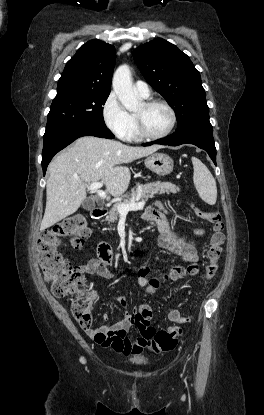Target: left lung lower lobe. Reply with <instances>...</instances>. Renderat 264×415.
<instances>
[{
  "label": "left lung lower lobe",
  "instance_id": "left-lung-lower-lobe-1",
  "mask_svg": "<svg viewBox=\"0 0 264 415\" xmlns=\"http://www.w3.org/2000/svg\"><path fill=\"white\" fill-rule=\"evenodd\" d=\"M185 143L193 144L204 149L216 165V148L212 134V125L209 121V114L193 116L178 126L173 134L155 142L142 145L149 146L152 144H162L178 146Z\"/></svg>",
  "mask_w": 264,
  "mask_h": 415
}]
</instances>
